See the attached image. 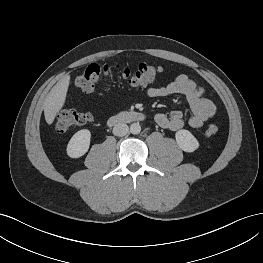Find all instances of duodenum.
Segmentation results:
<instances>
[{
    "instance_id": "410a0bca",
    "label": "duodenum",
    "mask_w": 263,
    "mask_h": 263,
    "mask_svg": "<svg viewBox=\"0 0 263 263\" xmlns=\"http://www.w3.org/2000/svg\"><path fill=\"white\" fill-rule=\"evenodd\" d=\"M144 119L145 115L143 113L138 111H129L109 117L107 120V124L109 126H114L124 122L143 121Z\"/></svg>"
}]
</instances>
